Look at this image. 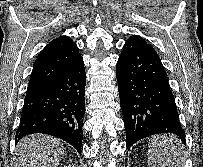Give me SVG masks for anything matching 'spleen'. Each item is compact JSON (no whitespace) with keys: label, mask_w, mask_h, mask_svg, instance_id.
Segmentation results:
<instances>
[{"label":"spleen","mask_w":203,"mask_h":167,"mask_svg":"<svg viewBox=\"0 0 203 167\" xmlns=\"http://www.w3.org/2000/svg\"><path fill=\"white\" fill-rule=\"evenodd\" d=\"M183 145L174 136L153 137L148 149V167H182Z\"/></svg>","instance_id":"obj_1"}]
</instances>
